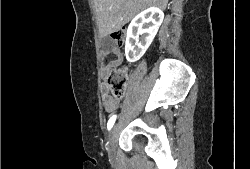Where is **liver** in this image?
I'll use <instances>...</instances> for the list:
<instances>
[{
    "instance_id": "obj_1",
    "label": "liver",
    "mask_w": 250,
    "mask_h": 169,
    "mask_svg": "<svg viewBox=\"0 0 250 169\" xmlns=\"http://www.w3.org/2000/svg\"><path fill=\"white\" fill-rule=\"evenodd\" d=\"M101 36L117 32L145 6L165 10L168 0H92Z\"/></svg>"
}]
</instances>
